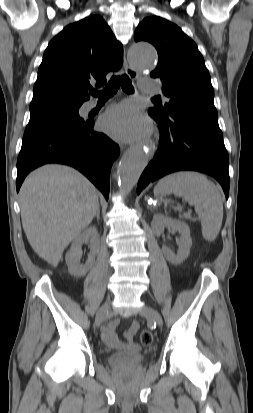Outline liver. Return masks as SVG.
<instances>
[{
	"label": "liver",
	"instance_id": "6515ba94",
	"mask_svg": "<svg viewBox=\"0 0 253 413\" xmlns=\"http://www.w3.org/2000/svg\"><path fill=\"white\" fill-rule=\"evenodd\" d=\"M19 201L28 242L54 267L99 207L95 186L77 170L58 164L31 172L21 186Z\"/></svg>",
	"mask_w": 253,
	"mask_h": 413
}]
</instances>
